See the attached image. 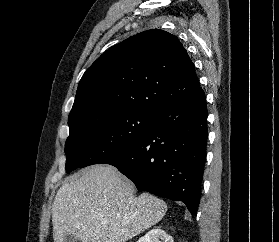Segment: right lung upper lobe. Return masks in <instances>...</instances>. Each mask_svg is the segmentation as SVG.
<instances>
[{
    "label": "right lung upper lobe",
    "mask_w": 279,
    "mask_h": 242,
    "mask_svg": "<svg viewBox=\"0 0 279 242\" xmlns=\"http://www.w3.org/2000/svg\"><path fill=\"white\" fill-rule=\"evenodd\" d=\"M204 93L178 38L138 33L104 52L82 76L69 120L121 109L157 112Z\"/></svg>",
    "instance_id": "cb5924a9"
}]
</instances>
